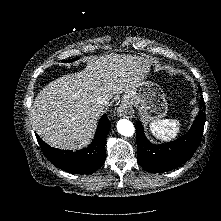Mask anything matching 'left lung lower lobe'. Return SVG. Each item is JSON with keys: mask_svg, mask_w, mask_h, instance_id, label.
I'll return each mask as SVG.
<instances>
[{"mask_svg": "<svg viewBox=\"0 0 221 221\" xmlns=\"http://www.w3.org/2000/svg\"><path fill=\"white\" fill-rule=\"evenodd\" d=\"M201 99V106L205 108L203 96ZM205 120L206 118L203 111H200L192 128L186 135L175 141L162 145L150 143L144 135L142 124L137 122L138 163L145 170L152 173L165 172L180 166L189 160L198 148L202 140Z\"/></svg>", "mask_w": 221, "mask_h": 221, "instance_id": "left-lung-lower-lobe-1", "label": "left lung lower lobe"}]
</instances>
